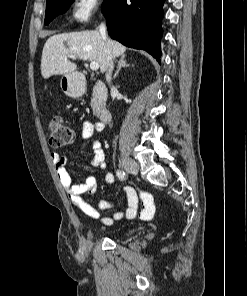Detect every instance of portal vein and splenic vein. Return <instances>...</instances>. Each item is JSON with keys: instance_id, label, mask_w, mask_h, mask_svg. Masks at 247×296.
Here are the masks:
<instances>
[{"instance_id": "obj_1", "label": "portal vein and splenic vein", "mask_w": 247, "mask_h": 296, "mask_svg": "<svg viewBox=\"0 0 247 296\" xmlns=\"http://www.w3.org/2000/svg\"><path fill=\"white\" fill-rule=\"evenodd\" d=\"M69 57H71V58H76V57H78V56H76V55H69ZM81 58H82V57H81ZM90 69L93 70V71L98 70V69H99V64H98L97 62H95V61L91 62V63H90Z\"/></svg>"}]
</instances>
